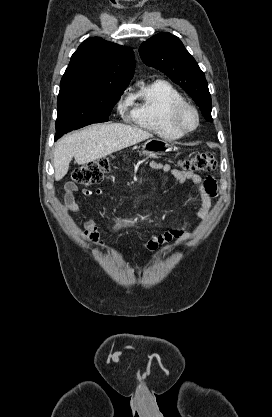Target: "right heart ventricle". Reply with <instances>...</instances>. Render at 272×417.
Returning <instances> with one entry per match:
<instances>
[{
    "label": "right heart ventricle",
    "mask_w": 272,
    "mask_h": 417,
    "mask_svg": "<svg viewBox=\"0 0 272 417\" xmlns=\"http://www.w3.org/2000/svg\"><path fill=\"white\" fill-rule=\"evenodd\" d=\"M183 101L182 94L165 80L157 79L142 84L131 96L129 120L162 138L178 139L182 134L171 126L169 114L175 104Z\"/></svg>",
    "instance_id": "right-heart-ventricle-1"
}]
</instances>
